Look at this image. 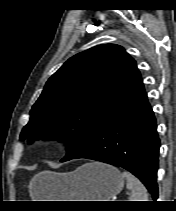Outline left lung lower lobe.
Here are the masks:
<instances>
[{
    "mask_svg": "<svg viewBox=\"0 0 176 211\" xmlns=\"http://www.w3.org/2000/svg\"><path fill=\"white\" fill-rule=\"evenodd\" d=\"M156 129L155 116L143 92L107 118L72 159L87 158L122 167L138 177L156 200L160 146Z\"/></svg>",
    "mask_w": 176,
    "mask_h": 211,
    "instance_id": "0a47b994",
    "label": "left lung lower lobe"
}]
</instances>
